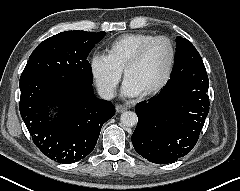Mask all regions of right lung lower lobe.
I'll use <instances>...</instances> for the list:
<instances>
[{
	"label": "right lung lower lobe",
	"instance_id": "98d812e1",
	"mask_svg": "<svg viewBox=\"0 0 240 191\" xmlns=\"http://www.w3.org/2000/svg\"><path fill=\"white\" fill-rule=\"evenodd\" d=\"M20 114L34 144L50 159L75 163L94 149L102 125L114 116L112 103L96 98L92 84L60 75L21 76ZM58 105L57 117L49 109Z\"/></svg>",
	"mask_w": 240,
	"mask_h": 191
}]
</instances>
